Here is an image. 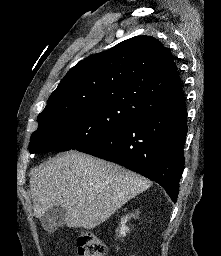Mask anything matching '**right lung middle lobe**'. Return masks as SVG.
Returning a JSON list of instances; mask_svg holds the SVG:
<instances>
[{
	"instance_id": "right-lung-middle-lobe-1",
	"label": "right lung middle lobe",
	"mask_w": 221,
	"mask_h": 256,
	"mask_svg": "<svg viewBox=\"0 0 221 256\" xmlns=\"http://www.w3.org/2000/svg\"><path fill=\"white\" fill-rule=\"evenodd\" d=\"M137 118L135 113L113 104H97L39 114L32 134L30 153L78 149L114 128Z\"/></svg>"
}]
</instances>
